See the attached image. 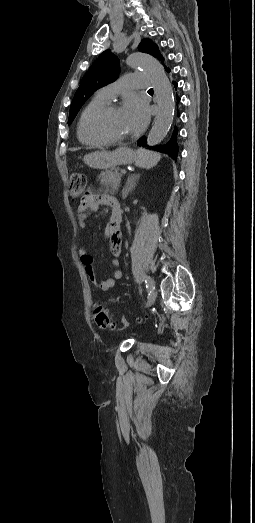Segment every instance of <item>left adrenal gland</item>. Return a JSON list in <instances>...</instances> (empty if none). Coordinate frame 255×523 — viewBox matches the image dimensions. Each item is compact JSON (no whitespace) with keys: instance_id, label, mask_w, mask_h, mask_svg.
I'll return each mask as SVG.
<instances>
[{"instance_id":"left-adrenal-gland-1","label":"left adrenal gland","mask_w":255,"mask_h":523,"mask_svg":"<svg viewBox=\"0 0 255 523\" xmlns=\"http://www.w3.org/2000/svg\"><path fill=\"white\" fill-rule=\"evenodd\" d=\"M139 178H140L139 174H133V176H128L127 182L125 184V188H123V190H122L123 200H125V198H127L129 192H132V190H134V188H136Z\"/></svg>"}]
</instances>
